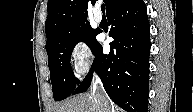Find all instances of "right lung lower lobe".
I'll return each mask as SVG.
<instances>
[{"mask_svg":"<svg viewBox=\"0 0 193 112\" xmlns=\"http://www.w3.org/2000/svg\"><path fill=\"white\" fill-rule=\"evenodd\" d=\"M143 0H126L109 14L110 53L100 45L85 79L72 94L85 92L93 71L99 75L109 97L127 112H147L150 26Z\"/></svg>","mask_w":193,"mask_h":112,"instance_id":"right-lung-lower-lobe-1","label":"right lung lower lobe"}]
</instances>
